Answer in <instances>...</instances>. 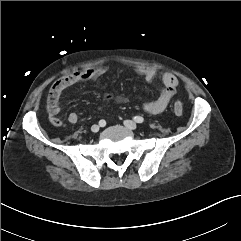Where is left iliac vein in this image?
Segmentation results:
<instances>
[{"label": "left iliac vein", "instance_id": "obj_1", "mask_svg": "<svg viewBox=\"0 0 241 241\" xmlns=\"http://www.w3.org/2000/svg\"><path fill=\"white\" fill-rule=\"evenodd\" d=\"M124 125L131 130L137 129V124L134 121H131V120H125Z\"/></svg>", "mask_w": 241, "mask_h": 241}]
</instances>
